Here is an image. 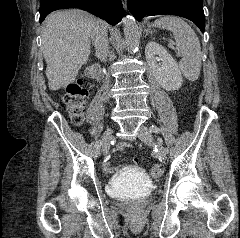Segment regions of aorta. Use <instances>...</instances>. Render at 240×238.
Here are the masks:
<instances>
[{
  "label": "aorta",
  "instance_id": "1",
  "mask_svg": "<svg viewBox=\"0 0 240 238\" xmlns=\"http://www.w3.org/2000/svg\"><path fill=\"white\" fill-rule=\"evenodd\" d=\"M122 22L127 50L130 53L136 52L140 44V32L136 20L132 16H127Z\"/></svg>",
  "mask_w": 240,
  "mask_h": 238
}]
</instances>
